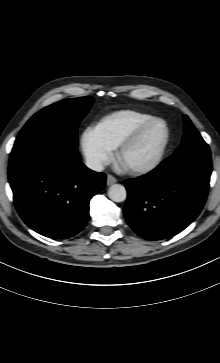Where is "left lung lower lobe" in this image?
Here are the masks:
<instances>
[{
	"mask_svg": "<svg viewBox=\"0 0 220 363\" xmlns=\"http://www.w3.org/2000/svg\"><path fill=\"white\" fill-rule=\"evenodd\" d=\"M211 172L210 150L189 148L175 152L150 173L125 181L128 225L147 240L178 234L202 210Z\"/></svg>",
	"mask_w": 220,
	"mask_h": 363,
	"instance_id": "obj_1",
	"label": "left lung lower lobe"
}]
</instances>
